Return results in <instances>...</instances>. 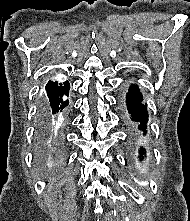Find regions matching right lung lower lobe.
Instances as JSON below:
<instances>
[{"label": "right lung lower lobe", "instance_id": "obj_1", "mask_svg": "<svg viewBox=\"0 0 190 221\" xmlns=\"http://www.w3.org/2000/svg\"><path fill=\"white\" fill-rule=\"evenodd\" d=\"M70 84L68 81L59 83L49 81L45 90L47 96L40 99L38 114L36 118V142L40 149L45 150L48 158L54 165L60 164L65 156V141L63 130L66 121L60 128L57 127L58 116L68 105V100L63 96L68 95Z\"/></svg>", "mask_w": 190, "mask_h": 221}]
</instances>
